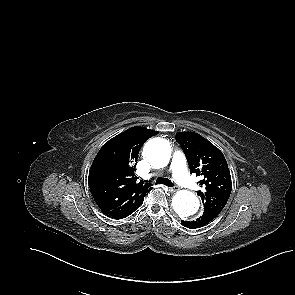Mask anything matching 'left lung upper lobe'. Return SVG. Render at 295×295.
Instances as JSON below:
<instances>
[{"label": "left lung upper lobe", "mask_w": 295, "mask_h": 295, "mask_svg": "<svg viewBox=\"0 0 295 295\" xmlns=\"http://www.w3.org/2000/svg\"><path fill=\"white\" fill-rule=\"evenodd\" d=\"M176 139L186 155L190 172L202 175L198 191L204 210H223L231 193L232 182L223 153L211 142L194 132H178Z\"/></svg>", "instance_id": "5c2ea615"}]
</instances>
